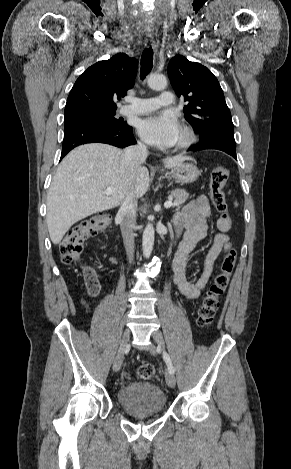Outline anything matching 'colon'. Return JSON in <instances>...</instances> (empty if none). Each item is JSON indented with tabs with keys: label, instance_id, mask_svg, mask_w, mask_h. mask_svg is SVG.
<instances>
[{
	"label": "colon",
	"instance_id": "obj_1",
	"mask_svg": "<svg viewBox=\"0 0 291 469\" xmlns=\"http://www.w3.org/2000/svg\"><path fill=\"white\" fill-rule=\"evenodd\" d=\"M229 175L230 173L227 167L217 165L213 168L209 181V195L212 205L223 219H228L224 188L229 179ZM108 223L109 216L104 213H99L73 226L60 244V256L62 261L65 264L76 263L82 252L84 241L102 231ZM236 260V250L234 248L229 249L222 260L220 271L214 277L202 299L197 318L199 326L206 327L213 322L219 308L220 298L229 284ZM84 275L92 278V271L89 268H85ZM90 295L94 296L95 290H92ZM154 373V366L150 363H144L138 368V376L144 380L151 379Z\"/></svg>",
	"mask_w": 291,
	"mask_h": 469
}]
</instances>
